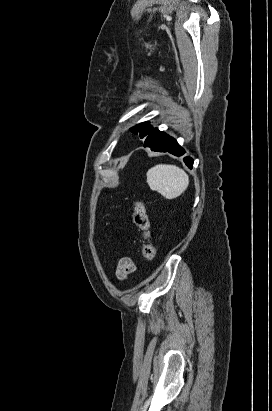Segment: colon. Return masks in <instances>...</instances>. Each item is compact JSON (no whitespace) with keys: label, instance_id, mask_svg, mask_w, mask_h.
I'll return each mask as SVG.
<instances>
[{"label":"colon","instance_id":"5ec220e1","mask_svg":"<svg viewBox=\"0 0 272 411\" xmlns=\"http://www.w3.org/2000/svg\"><path fill=\"white\" fill-rule=\"evenodd\" d=\"M133 221L135 225L142 232L143 240L141 245V251L143 257L148 261H153L156 257L154 247L149 243L150 237V221L147 215L144 204L137 200L133 205Z\"/></svg>","mask_w":272,"mask_h":411}]
</instances>
